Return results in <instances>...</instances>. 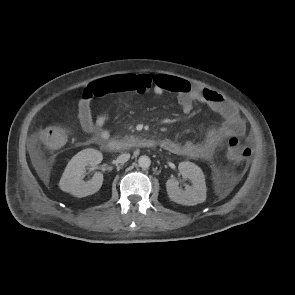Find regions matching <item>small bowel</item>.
Returning <instances> with one entry per match:
<instances>
[{"mask_svg":"<svg viewBox=\"0 0 295 295\" xmlns=\"http://www.w3.org/2000/svg\"><path fill=\"white\" fill-rule=\"evenodd\" d=\"M118 92H134L138 96L148 92L154 94L172 92L177 95L178 103L184 114H189L194 103L200 102L222 117V123L218 127L211 128L200 142L179 143L168 138L160 142L163 149L177 155L209 160L226 140L240 137L246 130L245 122L235 106L213 90L191 85L184 79L169 75H113L90 82L84 88L78 103V118L82 131L99 142L108 140L110 137V132L106 128L109 115L102 114L94 119L91 103L96 97ZM135 104L136 100L123 103L115 113L127 111Z\"/></svg>","mask_w":295,"mask_h":295,"instance_id":"c3829d8e","label":"small bowel"}]
</instances>
